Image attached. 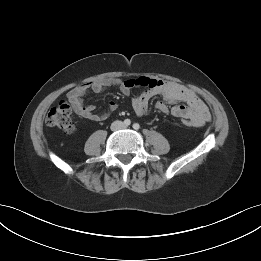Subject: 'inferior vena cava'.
Segmentation results:
<instances>
[{"mask_svg": "<svg viewBox=\"0 0 261 261\" xmlns=\"http://www.w3.org/2000/svg\"><path fill=\"white\" fill-rule=\"evenodd\" d=\"M122 127H123V123L121 121H115L111 125L112 130H118L121 129Z\"/></svg>", "mask_w": 261, "mask_h": 261, "instance_id": "obj_1", "label": "inferior vena cava"}]
</instances>
